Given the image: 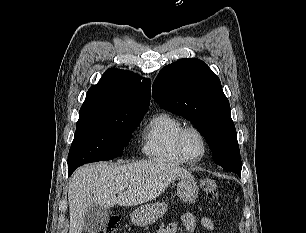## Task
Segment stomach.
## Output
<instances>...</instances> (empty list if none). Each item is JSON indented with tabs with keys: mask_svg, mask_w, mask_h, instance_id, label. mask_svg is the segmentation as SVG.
I'll return each mask as SVG.
<instances>
[{
	"mask_svg": "<svg viewBox=\"0 0 306 233\" xmlns=\"http://www.w3.org/2000/svg\"><path fill=\"white\" fill-rule=\"evenodd\" d=\"M177 194L183 201H192L198 195V186L194 177L180 178L177 183ZM168 205L165 202H155L143 205L130 214L133 224L147 226L154 223L167 212Z\"/></svg>",
	"mask_w": 306,
	"mask_h": 233,
	"instance_id": "1",
	"label": "stomach"
}]
</instances>
